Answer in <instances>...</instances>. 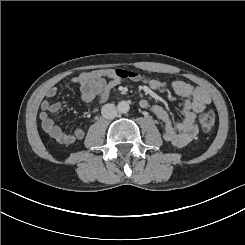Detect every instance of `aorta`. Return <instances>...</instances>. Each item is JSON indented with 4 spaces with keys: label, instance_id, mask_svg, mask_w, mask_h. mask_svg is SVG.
Returning a JSON list of instances; mask_svg holds the SVG:
<instances>
[{
    "label": "aorta",
    "instance_id": "762f6f07",
    "mask_svg": "<svg viewBox=\"0 0 245 245\" xmlns=\"http://www.w3.org/2000/svg\"><path fill=\"white\" fill-rule=\"evenodd\" d=\"M117 109L120 113L124 114L130 110V105L127 101H120L117 105Z\"/></svg>",
    "mask_w": 245,
    "mask_h": 245
}]
</instances>
